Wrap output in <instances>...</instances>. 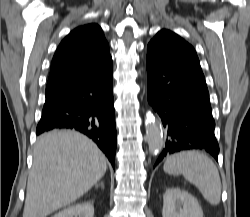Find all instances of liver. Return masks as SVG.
Here are the masks:
<instances>
[{"label": "liver", "mask_w": 250, "mask_h": 217, "mask_svg": "<svg viewBox=\"0 0 250 217\" xmlns=\"http://www.w3.org/2000/svg\"><path fill=\"white\" fill-rule=\"evenodd\" d=\"M33 157L23 217H46L73 203L107 170L106 157L96 144L69 130L41 135Z\"/></svg>", "instance_id": "1"}]
</instances>
